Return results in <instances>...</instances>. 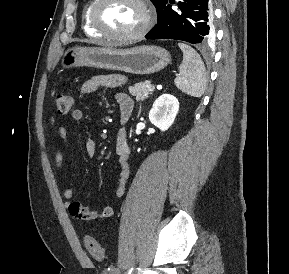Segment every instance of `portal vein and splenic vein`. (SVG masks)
Wrapping results in <instances>:
<instances>
[{"label": "portal vein and splenic vein", "instance_id": "obj_1", "mask_svg": "<svg viewBox=\"0 0 289 274\" xmlns=\"http://www.w3.org/2000/svg\"><path fill=\"white\" fill-rule=\"evenodd\" d=\"M149 89H150V91H153L155 89V87L151 86Z\"/></svg>", "mask_w": 289, "mask_h": 274}]
</instances>
